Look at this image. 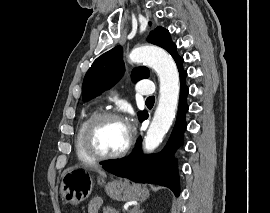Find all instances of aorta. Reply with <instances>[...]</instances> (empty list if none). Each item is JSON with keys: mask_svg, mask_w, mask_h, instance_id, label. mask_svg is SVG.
I'll return each instance as SVG.
<instances>
[{"mask_svg": "<svg viewBox=\"0 0 270 213\" xmlns=\"http://www.w3.org/2000/svg\"><path fill=\"white\" fill-rule=\"evenodd\" d=\"M134 63H146L153 68L160 80V96L154 118L144 138L146 151H153L170 129L179 98V73L172 57L154 46L137 47L129 54Z\"/></svg>", "mask_w": 270, "mask_h": 213, "instance_id": "1", "label": "aorta"}]
</instances>
